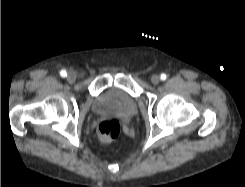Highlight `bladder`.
<instances>
[{
	"label": "bladder",
	"mask_w": 245,
	"mask_h": 187,
	"mask_svg": "<svg viewBox=\"0 0 245 187\" xmlns=\"http://www.w3.org/2000/svg\"><path fill=\"white\" fill-rule=\"evenodd\" d=\"M92 110L97 114H120L129 117L136 113L134 99L124 90L113 88L93 99Z\"/></svg>",
	"instance_id": "31cf9c89"
}]
</instances>
